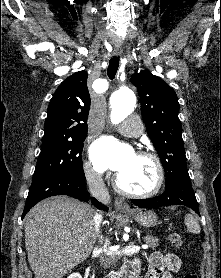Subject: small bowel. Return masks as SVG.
<instances>
[{"label": "small bowel", "instance_id": "1", "mask_svg": "<svg viewBox=\"0 0 221 278\" xmlns=\"http://www.w3.org/2000/svg\"><path fill=\"white\" fill-rule=\"evenodd\" d=\"M181 266V260L177 255L155 252L150 257L146 278H175Z\"/></svg>", "mask_w": 221, "mask_h": 278}]
</instances>
